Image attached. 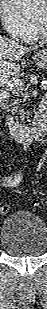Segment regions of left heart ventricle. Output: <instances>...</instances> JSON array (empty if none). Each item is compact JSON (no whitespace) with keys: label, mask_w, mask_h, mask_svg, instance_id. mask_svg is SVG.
<instances>
[{"label":"left heart ventricle","mask_w":47,"mask_h":309,"mask_svg":"<svg viewBox=\"0 0 47 309\" xmlns=\"http://www.w3.org/2000/svg\"><path fill=\"white\" fill-rule=\"evenodd\" d=\"M46 21H47V14L45 11L41 12L40 14L36 15L33 18V22L39 24L43 28L46 26Z\"/></svg>","instance_id":"left-heart-ventricle-1"}]
</instances>
